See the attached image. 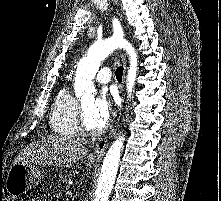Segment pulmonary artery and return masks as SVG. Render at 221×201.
I'll list each match as a JSON object with an SVG mask.
<instances>
[{"label": "pulmonary artery", "mask_w": 221, "mask_h": 201, "mask_svg": "<svg viewBox=\"0 0 221 201\" xmlns=\"http://www.w3.org/2000/svg\"><path fill=\"white\" fill-rule=\"evenodd\" d=\"M96 81L102 84H106L111 79V71L108 67H103L96 75Z\"/></svg>", "instance_id": "e3ab8cb5"}]
</instances>
